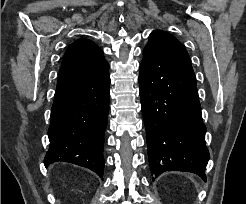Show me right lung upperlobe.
<instances>
[{"label": "right lung upper lobe", "instance_id": "1", "mask_svg": "<svg viewBox=\"0 0 246 204\" xmlns=\"http://www.w3.org/2000/svg\"><path fill=\"white\" fill-rule=\"evenodd\" d=\"M107 65L103 51L93 41L79 39L67 49L62 62V67Z\"/></svg>", "mask_w": 246, "mask_h": 204}]
</instances>
